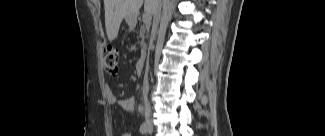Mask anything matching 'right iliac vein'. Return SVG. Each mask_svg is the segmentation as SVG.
Instances as JSON below:
<instances>
[{
    "mask_svg": "<svg viewBox=\"0 0 325 136\" xmlns=\"http://www.w3.org/2000/svg\"><path fill=\"white\" fill-rule=\"evenodd\" d=\"M150 121L149 120H147V124L149 123Z\"/></svg>",
    "mask_w": 325,
    "mask_h": 136,
    "instance_id": "63e3f726",
    "label": "right iliac vein"
}]
</instances>
